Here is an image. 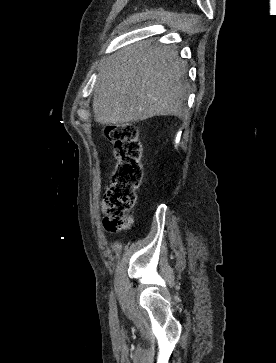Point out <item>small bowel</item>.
Segmentation results:
<instances>
[{
	"label": "small bowel",
	"instance_id": "small-bowel-1",
	"mask_svg": "<svg viewBox=\"0 0 276 363\" xmlns=\"http://www.w3.org/2000/svg\"><path fill=\"white\" fill-rule=\"evenodd\" d=\"M107 187H108V186H107V185H105V186H103V188H102V189L104 190V189H106Z\"/></svg>",
	"mask_w": 276,
	"mask_h": 363
}]
</instances>
